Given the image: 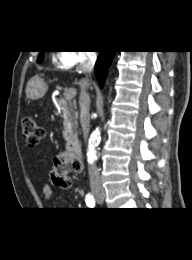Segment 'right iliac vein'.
<instances>
[{"instance_id":"right-iliac-vein-1","label":"right iliac vein","mask_w":192,"mask_h":260,"mask_svg":"<svg viewBox=\"0 0 192 260\" xmlns=\"http://www.w3.org/2000/svg\"><path fill=\"white\" fill-rule=\"evenodd\" d=\"M95 196L96 197H103V193L97 192V193H95Z\"/></svg>"}]
</instances>
